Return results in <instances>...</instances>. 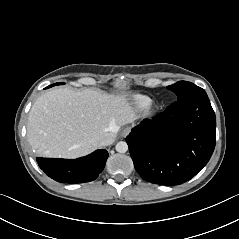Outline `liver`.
Returning <instances> with one entry per match:
<instances>
[{
  "instance_id": "obj_1",
  "label": "liver",
  "mask_w": 239,
  "mask_h": 239,
  "mask_svg": "<svg viewBox=\"0 0 239 239\" xmlns=\"http://www.w3.org/2000/svg\"><path fill=\"white\" fill-rule=\"evenodd\" d=\"M136 118L125 94L58 88L42 94L33 104L27 138L42 156L77 158L101 147L102 136L115 138L121 126Z\"/></svg>"
}]
</instances>
